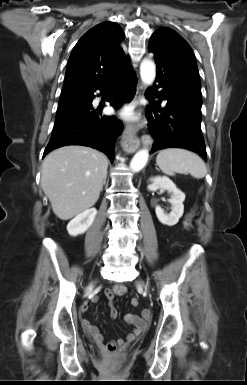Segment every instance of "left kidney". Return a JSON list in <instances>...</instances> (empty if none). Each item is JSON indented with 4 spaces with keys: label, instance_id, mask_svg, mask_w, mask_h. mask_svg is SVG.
Segmentation results:
<instances>
[{
    "label": "left kidney",
    "instance_id": "left-kidney-1",
    "mask_svg": "<svg viewBox=\"0 0 247 385\" xmlns=\"http://www.w3.org/2000/svg\"><path fill=\"white\" fill-rule=\"evenodd\" d=\"M151 184L148 185L149 191L164 189L171 193V198L168 200L171 203V212L166 214L160 206H156L155 212L158 220L167 226H174L178 223L184 212L183 202L185 194L179 190L176 185L166 176H157L150 178Z\"/></svg>",
    "mask_w": 247,
    "mask_h": 385
}]
</instances>
